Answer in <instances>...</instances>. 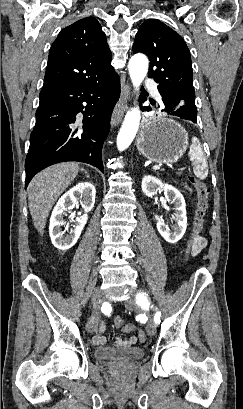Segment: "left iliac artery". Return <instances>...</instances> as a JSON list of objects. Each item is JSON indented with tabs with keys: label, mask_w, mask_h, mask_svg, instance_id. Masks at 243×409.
<instances>
[{
	"label": "left iliac artery",
	"mask_w": 243,
	"mask_h": 409,
	"mask_svg": "<svg viewBox=\"0 0 243 409\" xmlns=\"http://www.w3.org/2000/svg\"><path fill=\"white\" fill-rule=\"evenodd\" d=\"M141 298V297H140ZM160 316H161V313L156 309V313H155V316H154V322H155V324H159L160 323Z\"/></svg>",
	"instance_id": "obj_1"
}]
</instances>
